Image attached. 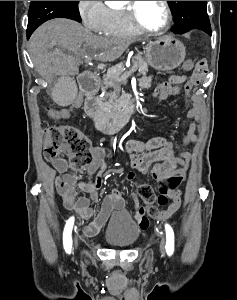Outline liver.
Segmentation results:
<instances>
[{
	"label": "liver",
	"mask_w": 237,
	"mask_h": 300,
	"mask_svg": "<svg viewBox=\"0 0 237 300\" xmlns=\"http://www.w3.org/2000/svg\"><path fill=\"white\" fill-rule=\"evenodd\" d=\"M134 39H108L94 35L80 23L52 19L34 31L29 53L40 75H78V65L94 55L96 61L110 63L123 55Z\"/></svg>",
	"instance_id": "obj_1"
}]
</instances>
